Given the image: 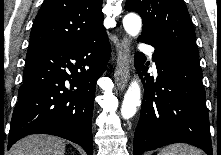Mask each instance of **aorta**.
I'll use <instances>...</instances> for the list:
<instances>
[{"label": "aorta", "mask_w": 221, "mask_h": 155, "mask_svg": "<svg viewBox=\"0 0 221 155\" xmlns=\"http://www.w3.org/2000/svg\"><path fill=\"white\" fill-rule=\"evenodd\" d=\"M123 26L130 36H137L142 28L140 16L135 13L127 14L123 19ZM140 98V86L136 80L132 81L124 95V100L121 106V115L124 119H130L135 115L137 107L140 104Z\"/></svg>", "instance_id": "762f6f07"}]
</instances>
